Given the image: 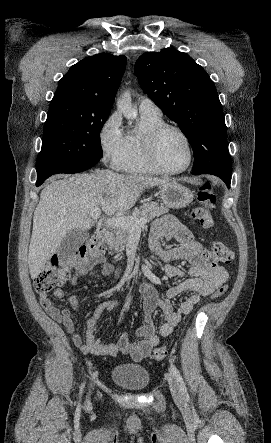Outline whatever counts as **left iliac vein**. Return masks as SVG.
<instances>
[{
	"label": "left iliac vein",
	"mask_w": 271,
	"mask_h": 443,
	"mask_svg": "<svg viewBox=\"0 0 271 443\" xmlns=\"http://www.w3.org/2000/svg\"><path fill=\"white\" fill-rule=\"evenodd\" d=\"M167 380L173 398L175 400H181L182 393L176 378L172 374H169Z\"/></svg>",
	"instance_id": "obj_1"
}]
</instances>
